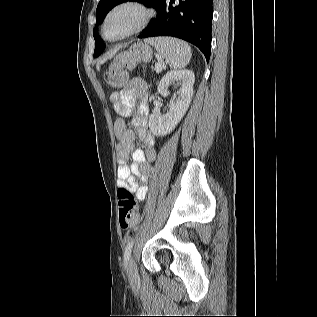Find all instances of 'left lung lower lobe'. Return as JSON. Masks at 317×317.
I'll return each instance as SVG.
<instances>
[{
	"mask_svg": "<svg viewBox=\"0 0 317 317\" xmlns=\"http://www.w3.org/2000/svg\"><path fill=\"white\" fill-rule=\"evenodd\" d=\"M213 0H162L157 17L139 38L173 36L197 46L207 62L211 53Z\"/></svg>",
	"mask_w": 317,
	"mask_h": 317,
	"instance_id": "obj_1",
	"label": "left lung lower lobe"
}]
</instances>
